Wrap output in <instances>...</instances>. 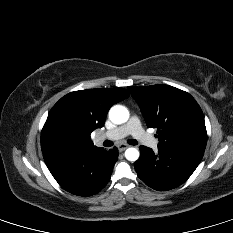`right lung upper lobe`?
<instances>
[{
    "instance_id": "cb5924a9",
    "label": "right lung upper lobe",
    "mask_w": 233,
    "mask_h": 233,
    "mask_svg": "<svg viewBox=\"0 0 233 233\" xmlns=\"http://www.w3.org/2000/svg\"><path fill=\"white\" fill-rule=\"evenodd\" d=\"M123 88L87 89L68 93L50 110L41 133L43 155L52 151L45 146L46 133L54 127H62L70 133L66 151L84 152L94 148L90 134L104 125L108 110L126 98Z\"/></svg>"
}]
</instances>
